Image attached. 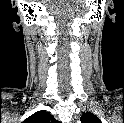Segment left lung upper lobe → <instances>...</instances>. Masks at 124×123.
Segmentation results:
<instances>
[{
    "instance_id": "left-lung-upper-lobe-1",
    "label": "left lung upper lobe",
    "mask_w": 124,
    "mask_h": 123,
    "mask_svg": "<svg viewBox=\"0 0 124 123\" xmlns=\"http://www.w3.org/2000/svg\"><path fill=\"white\" fill-rule=\"evenodd\" d=\"M80 120L82 121V123H101L99 118L90 112L84 113Z\"/></svg>"
}]
</instances>
